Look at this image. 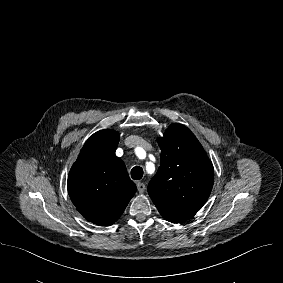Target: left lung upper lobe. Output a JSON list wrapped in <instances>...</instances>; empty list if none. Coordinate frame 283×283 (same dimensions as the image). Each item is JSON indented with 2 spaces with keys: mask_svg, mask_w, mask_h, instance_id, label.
Listing matches in <instances>:
<instances>
[{
  "mask_svg": "<svg viewBox=\"0 0 283 283\" xmlns=\"http://www.w3.org/2000/svg\"><path fill=\"white\" fill-rule=\"evenodd\" d=\"M161 164L148 185L160 214L172 223L192 218L207 201L214 183L211 161L194 134L172 124L159 138Z\"/></svg>",
  "mask_w": 283,
  "mask_h": 283,
  "instance_id": "obj_1",
  "label": "left lung upper lobe"
}]
</instances>
